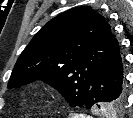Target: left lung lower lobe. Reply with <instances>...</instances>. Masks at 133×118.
<instances>
[{
    "label": "left lung lower lobe",
    "instance_id": "left-lung-lower-lobe-1",
    "mask_svg": "<svg viewBox=\"0 0 133 118\" xmlns=\"http://www.w3.org/2000/svg\"><path fill=\"white\" fill-rule=\"evenodd\" d=\"M123 60L118 41L115 40L106 60L95 74L85 98L84 106L99 108L117 99L126 100L123 81Z\"/></svg>",
    "mask_w": 133,
    "mask_h": 118
}]
</instances>
